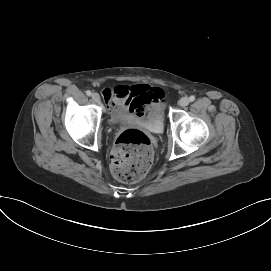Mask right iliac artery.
<instances>
[{
	"label": "right iliac artery",
	"instance_id": "obj_1",
	"mask_svg": "<svg viewBox=\"0 0 271 271\" xmlns=\"http://www.w3.org/2000/svg\"><path fill=\"white\" fill-rule=\"evenodd\" d=\"M86 94H87V96H91V91H90V90H87V91H86Z\"/></svg>",
	"mask_w": 271,
	"mask_h": 271
}]
</instances>
